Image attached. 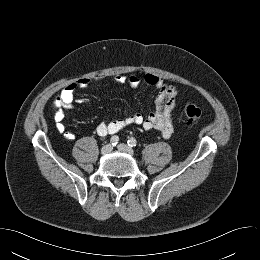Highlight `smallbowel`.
<instances>
[{
	"label": "small bowel",
	"instance_id": "obj_1",
	"mask_svg": "<svg viewBox=\"0 0 260 260\" xmlns=\"http://www.w3.org/2000/svg\"><path fill=\"white\" fill-rule=\"evenodd\" d=\"M102 80L103 78L99 76L81 78L67 85L61 91L59 96L60 107L56 112L55 122L57 130L66 139L73 140L75 135L65 128L63 110L73 107L76 101L77 90L93 86ZM113 80L116 84H127L131 88L138 87L141 82L140 77L137 75H116ZM144 82L158 91L154 101V108L150 114L143 116L139 113H134L110 122H100L96 127V132L99 136L118 133L130 125H139L146 130L156 129L164 138H169L173 134V115L177 107L178 88L152 73L145 75Z\"/></svg>",
	"mask_w": 260,
	"mask_h": 260
}]
</instances>
